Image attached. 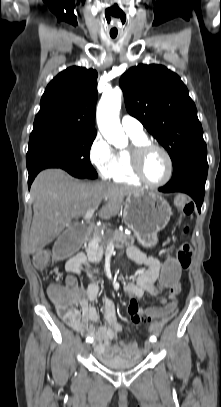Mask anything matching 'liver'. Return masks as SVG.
Listing matches in <instances>:
<instances>
[{
    "mask_svg": "<svg viewBox=\"0 0 221 407\" xmlns=\"http://www.w3.org/2000/svg\"><path fill=\"white\" fill-rule=\"evenodd\" d=\"M141 191L128 185L106 182H79L61 169H47L35 178L31 194L33 220L29 235V252H40L69 227L74 218L102 205L99 216L110 219L120 211L124 197Z\"/></svg>",
    "mask_w": 221,
    "mask_h": 407,
    "instance_id": "6515ba94",
    "label": "liver"
}]
</instances>
